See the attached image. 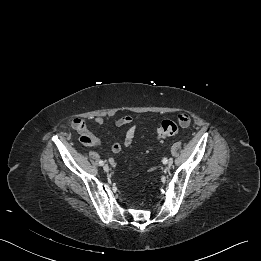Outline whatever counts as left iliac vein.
I'll return each instance as SVG.
<instances>
[{
	"label": "left iliac vein",
	"mask_w": 261,
	"mask_h": 261,
	"mask_svg": "<svg viewBox=\"0 0 261 261\" xmlns=\"http://www.w3.org/2000/svg\"><path fill=\"white\" fill-rule=\"evenodd\" d=\"M166 164H168L169 166H171V165H172V162L169 160V161L166 162Z\"/></svg>",
	"instance_id": "left-iliac-vein-1"
}]
</instances>
